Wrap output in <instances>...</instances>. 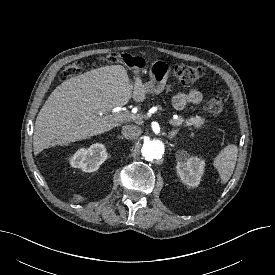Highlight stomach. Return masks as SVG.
Masks as SVG:
<instances>
[{"mask_svg": "<svg viewBox=\"0 0 275 275\" xmlns=\"http://www.w3.org/2000/svg\"><path fill=\"white\" fill-rule=\"evenodd\" d=\"M169 71L170 68L165 62L161 60L154 61L150 67V81L144 84L147 93H161L165 88Z\"/></svg>", "mask_w": 275, "mask_h": 275, "instance_id": "0dacf381", "label": "stomach"}]
</instances>
